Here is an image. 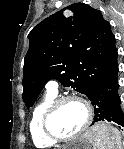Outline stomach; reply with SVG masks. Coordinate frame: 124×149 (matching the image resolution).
<instances>
[{
    "mask_svg": "<svg viewBox=\"0 0 124 149\" xmlns=\"http://www.w3.org/2000/svg\"><path fill=\"white\" fill-rule=\"evenodd\" d=\"M101 126L102 125L100 124V125L93 127L88 133L83 135L78 141L72 143L71 145H69L68 147L64 149H90V145L91 144L93 145L91 141V136L94 135L97 129Z\"/></svg>",
    "mask_w": 124,
    "mask_h": 149,
    "instance_id": "obj_1",
    "label": "stomach"
}]
</instances>
